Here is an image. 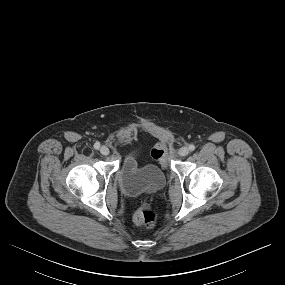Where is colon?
Wrapping results in <instances>:
<instances>
[{
  "mask_svg": "<svg viewBox=\"0 0 285 285\" xmlns=\"http://www.w3.org/2000/svg\"><path fill=\"white\" fill-rule=\"evenodd\" d=\"M152 155L155 159H158L162 163H166L165 157V147L163 145H159L152 151ZM155 213L151 207V205L147 202L141 203L138 208L133 213V221L135 224L150 228L155 223Z\"/></svg>",
  "mask_w": 285,
  "mask_h": 285,
  "instance_id": "1",
  "label": "colon"
}]
</instances>
